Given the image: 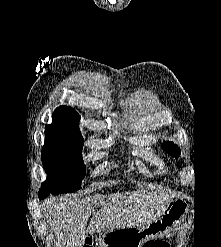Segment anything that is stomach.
Here are the masks:
<instances>
[{
	"mask_svg": "<svg viewBox=\"0 0 221 247\" xmlns=\"http://www.w3.org/2000/svg\"><path fill=\"white\" fill-rule=\"evenodd\" d=\"M189 211V204L181 199H172L161 214L145 226H131L101 233L100 247H144L152 239L162 237L174 230Z\"/></svg>",
	"mask_w": 221,
	"mask_h": 247,
	"instance_id": "1",
	"label": "stomach"
}]
</instances>
